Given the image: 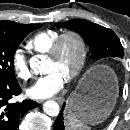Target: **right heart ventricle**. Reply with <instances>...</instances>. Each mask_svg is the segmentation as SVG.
<instances>
[{
  "instance_id": "1",
  "label": "right heart ventricle",
  "mask_w": 130,
  "mask_h": 130,
  "mask_svg": "<svg viewBox=\"0 0 130 130\" xmlns=\"http://www.w3.org/2000/svg\"><path fill=\"white\" fill-rule=\"evenodd\" d=\"M60 35L58 30L46 29L35 33L27 42L29 49L38 53H48L54 40Z\"/></svg>"
}]
</instances>
